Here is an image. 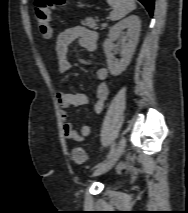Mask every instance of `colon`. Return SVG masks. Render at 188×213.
<instances>
[{"instance_id":"1","label":"colon","mask_w":188,"mask_h":213,"mask_svg":"<svg viewBox=\"0 0 188 213\" xmlns=\"http://www.w3.org/2000/svg\"><path fill=\"white\" fill-rule=\"evenodd\" d=\"M66 0H35L34 15L41 36L49 40L52 38L51 9L65 5ZM72 159L76 164H83L86 154L83 148L76 147L72 151Z\"/></svg>"}]
</instances>
